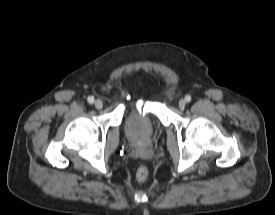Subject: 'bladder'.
Listing matches in <instances>:
<instances>
[{
  "label": "bladder",
  "instance_id": "bladder-1",
  "mask_svg": "<svg viewBox=\"0 0 275 215\" xmlns=\"http://www.w3.org/2000/svg\"><path fill=\"white\" fill-rule=\"evenodd\" d=\"M158 126L150 113L143 110L130 112L124 121L126 137L135 143L150 141L157 132Z\"/></svg>",
  "mask_w": 275,
  "mask_h": 215
}]
</instances>
